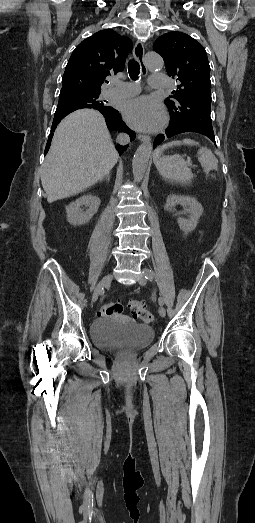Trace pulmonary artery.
<instances>
[{
    "mask_svg": "<svg viewBox=\"0 0 255 523\" xmlns=\"http://www.w3.org/2000/svg\"><path fill=\"white\" fill-rule=\"evenodd\" d=\"M112 88L108 89L106 95L108 98H125L136 95L140 91L139 84L135 82H122L118 79H112ZM150 84L157 92H163L169 85V77L166 74L155 72L150 76Z\"/></svg>",
    "mask_w": 255,
    "mask_h": 523,
    "instance_id": "1",
    "label": "pulmonary artery"
}]
</instances>
